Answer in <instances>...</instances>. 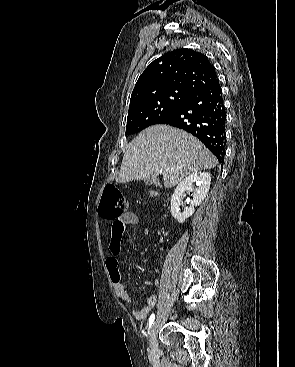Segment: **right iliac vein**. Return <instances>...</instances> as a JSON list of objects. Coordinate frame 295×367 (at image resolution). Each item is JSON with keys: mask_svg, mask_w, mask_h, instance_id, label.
Listing matches in <instances>:
<instances>
[{"mask_svg": "<svg viewBox=\"0 0 295 367\" xmlns=\"http://www.w3.org/2000/svg\"><path fill=\"white\" fill-rule=\"evenodd\" d=\"M159 319H157L152 327L151 333H150V355L152 357H155L158 352V341H157V328L159 325Z\"/></svg>", "mask_w": 295, "mask_h": 367, "instance_id": "right-iliac-vein-1", "label": "right iliac vein"}]
</instances>
